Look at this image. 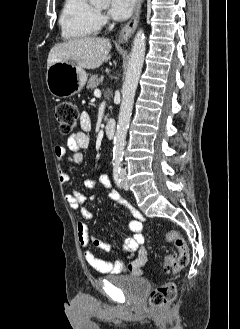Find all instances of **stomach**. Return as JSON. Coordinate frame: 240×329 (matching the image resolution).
Instances as JSON below:
<instances>
[{
	"label": "stomach",
	"mask_w": 240,
	"mask_h": 329,
	"mask_svg": "<svg viewBox=\"0 0 240 329\" xmlns=\"http://www.w3.org/2000/svg\"><path fill=\"white\" fill-rule=\"evenodd\" d=\"M87 81L84 69L69 62L52 64L46 74L50 93L58 98L71 97L82 90Z\"/></svg>",
	"instance_id": "stomach-1"
}]
</instances>
